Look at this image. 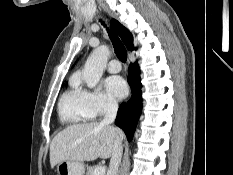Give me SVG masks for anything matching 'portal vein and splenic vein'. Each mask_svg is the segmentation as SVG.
I'll list each match as a JSON object with an SVG mask.
<instances>
[{
    "mask_svg": "<svg viewBox=\"0 0 233 175\" xmlns=\"http://www.w3.org/2000/svg\"><path fill=\"white\" fill-rule=\"evenodd\" d=\"M105 174V167L99 166L94 170L93 175H104Z\"/></svg>",
    "mask_w": 233,
    "mask_h": 175,
    "instance_id": "1",
    "label": "portal vein and splenic vein"
}]
</instances>
